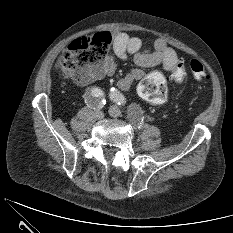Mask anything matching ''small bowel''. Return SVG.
<instances>
[{
	"mask_svg": "<svg viewBox=\"0 0 233 233\" xmlns=\"http://www.w3.org/2000/svg\"><path fill=\"white\" fill-rule=\"evenodd\" d=\"M112 38L113 53L109 54L105 60L103 74H113L116 59H126L128 56H133L134 62L140 67L118 80L117 84L122 90L130 89L133 84L144 78L145 73L142 68L161 65L166 72L170 73L179 61L175 50L162 39H156L151 47L144 48L139 37L123 31H113Z\"/></svg>",
	"mask_w": 233,
	"mask_h": 233,
	"instance_id": "c3829d8e",
	"label": "small bowel"
}]
</instances>
